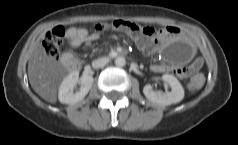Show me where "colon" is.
<instances>
[{"mask_svg":"<svg viewBox=\"0 0 238 145\" xmlns=\"http://www.w3.org/2000/svg\"><path fill=\"white\" fill-rule=\"evenodd\" d=\"M98 32L114 30L123 32L134 38L137 44L145 51L151 53L156 50L158 39L163 31L150 26H143L133 21L117 19L111 23L98 24ZM65 30L62 27H55L48 31L43 40L46 55L51 59H57L63 46ZM204 77L201 74L193 76L189 81L191 90L200 89L203 86Z\"/></svg>","mask_w":238,"mask_h":145,"instance_id":"colon-1","label":"colon"}]
</instances>
